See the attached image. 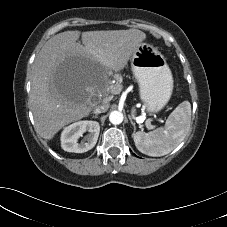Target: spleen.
I'll return each mask as SVG.
<instances>
[{
    "instance_id": "spleen-1",
    "label": "spleen",
    "mask_w": 227,
    "mask_h": 227,
    "mask_svg": "<svg viewBox=\"0 0 227 227\" xmlns=\"http://www.w3.org/2000/svg\"><path fill=\"white\" fill-rule=\"evenodd\" d=\"M191 104L188 101L180 103L169 115L164 127L151 132L133 133L136 148L143 154L160 157L174 150L190 130Z\"/></svg>"
}]
</instances>
